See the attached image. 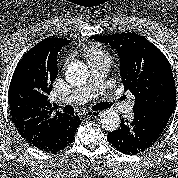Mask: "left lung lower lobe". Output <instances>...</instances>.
Wrapping results in <instances>:
<instances>
[{"label": "left lung lower lobe", "instance_id": "left-lung-lower-lobe-1", "mask_svg": "<svg viewBox=\"0 0 178 178\" xmlns=\"http://www.w3.org/2000/svg\"><path fill=\"white\" fill-rule=\"evenodd\" d=\"M173 112L142 109L134 112L131 122L121 119L120 128L108 132L107 139L125 154H135L153 145L162 134Z\"/></svg>", "mask_w": 178, "mask_h": 178}]
</instances>
